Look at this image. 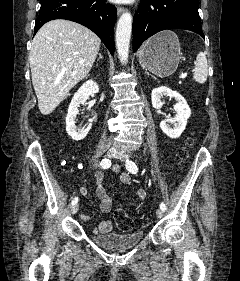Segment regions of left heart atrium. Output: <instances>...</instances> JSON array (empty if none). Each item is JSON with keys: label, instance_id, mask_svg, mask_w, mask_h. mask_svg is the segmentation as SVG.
<instances>
[{"label": "left heart atrium", "instance_id": "left-heart-atrium-1", "mask_svg": "<svg viewBox=\"0 0 240 281\" xmlns=\"http://www.w3.org/2000/svg\"><path fill=\"white\" fill-rule=\"evenodd\" d=\"M113 2H116V3H128V2H131L133 0H111Z\"/></svg>", "mask_w": 240, "mask_h": 281}]
</instances>
